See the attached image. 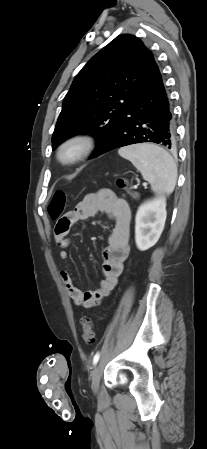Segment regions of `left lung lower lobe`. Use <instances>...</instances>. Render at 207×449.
<instances>
[{
  "mask_svg": "<svg viewBox=\"0 0 207 449\" xmlns=\"http://www.w3.org/2000/svg\"><path fill=\"white\" fill-rule=\"evenodd\" d=\"M144 142L156 143L167 149L176 146L172 105L157 64L115 134L94 157Z\"/></svg>",
  "mask_w": 207,
  "mask_h": 449,
  "instance_id": "1",
  "label": "left lung lower lobe"
}]
</instances>
